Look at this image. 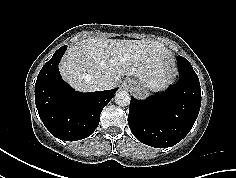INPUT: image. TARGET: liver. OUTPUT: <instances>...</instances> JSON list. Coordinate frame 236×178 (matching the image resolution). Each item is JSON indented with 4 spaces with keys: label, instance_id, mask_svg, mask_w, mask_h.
Wrapping results in <instances>:
<instances>
[{
    "label": "liver",
    "instance_id": "6515ba94",
    "mask_svg": "<svg viewBox=\"0 0 236 178\" xmlns=\"http://www.w3.org/2000/svg\"><path fill=\"white\" fill-rule=\"evenodd\" d=\"M169 50L154 40L87 38L68 48L59 69L63 79L82 92L97 90L94 81L105 78L106 89L126 76L146 87L159 86L173 77Z\"/></svg>",
    "mask_w": 236,
    "mask_h": 178
}]
</instances>
